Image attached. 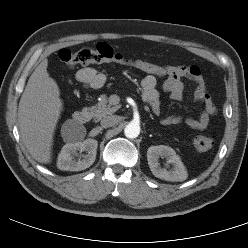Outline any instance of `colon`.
I'll return each instance as SVG.
<instances>
[{"label":"colon","instance_id":"colon-1","mask_svg":"<svg viewBox=\"0 0 248 248\" xmlns=\"http://www.w3.org/2000/svg\"><path fill=\"white\" fill-rule=\"evenodd\" d=\"M59 59L70 68L79 65L87 66L113 62L128 65L143 73L154 74L159 77H164L165 73L163 65L147 60L128 58L107 43H98L95 47L83 48L78 51L62 49L59 51ZM193 143L198 150L209 151L213 147L214 140L210 136L202 135L195 137Z\"/></svg>","mask_w":248,"mask_h":248}]
</instances>
